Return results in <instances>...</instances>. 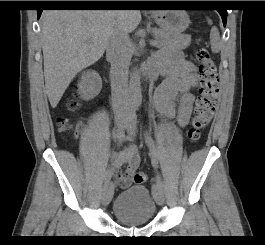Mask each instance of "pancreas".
I'll list each match as a JSON object with an SVG mask.
<instances>
[{"mask_svg":"<svg viewBox=\"0 0 265 245\" xmlns=\"http://www.w3.org/2000/svg\"><path fill=\"white\" fill-rule=\"evenodd\" d=\"M155 41L157 47L164 49L182 50L187 48L191 43L190 35H170L162 30H155Z\"/></svg>","mask_w":265,"mask_h":245,"instance_id":"cf45deb5","label":"pancreas"}]
</instances>
